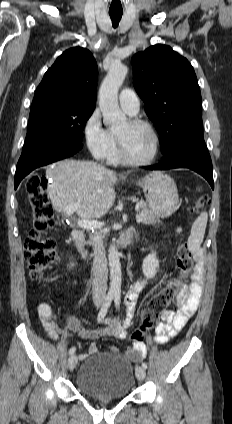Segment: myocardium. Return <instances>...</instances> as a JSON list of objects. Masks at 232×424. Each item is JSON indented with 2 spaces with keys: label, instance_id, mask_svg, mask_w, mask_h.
I'll return each instance as SVG.
<instances>
[{
  "label": "myocardium",
  "instance_id": "obj_1",
  "mask_svg": "<svg viewBox=\"0 0 232 424\" xmlns=\"http://www.w3.org/2000/svg\"><path fill=\"white\" fill-rule=\"evenodd\" d=\"M129 123L133 126H139L146 128L152 135L153 141H154V147L151 155L145 159L137 160L130 158L124 149L123 143L119 136L115 135L116 142H117V152L119 155V158L122 163L132 165V166H145L148 164H151L157 157L159 150H160V137L157 133L156 129L147 121L141 120V119H130Z\"/></svg>",
  "mask_w": 232,
  "mask_h": 424
}]
</instances>
